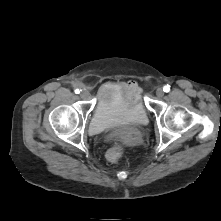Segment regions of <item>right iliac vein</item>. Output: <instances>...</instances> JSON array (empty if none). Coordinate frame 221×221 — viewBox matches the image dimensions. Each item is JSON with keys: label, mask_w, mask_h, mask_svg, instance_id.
I'll return each mask as SVG.
<instances>
[{"label": "right iliac vein", "mask_w": 221, "mask_h": 221, "mask_svg": "<svg viewBox=\"0 0 221 221\" xmlns=\"http://www.w3.org/2000/svg\"><path fill=\"white\" fill-rule=\"evenodd\" d=\"M89 93L86 90L81 91L80 97L83 99H86L88 97Z\"/></svg>", "instance_id": "right-iliac-vein-1"}]
</instances>
